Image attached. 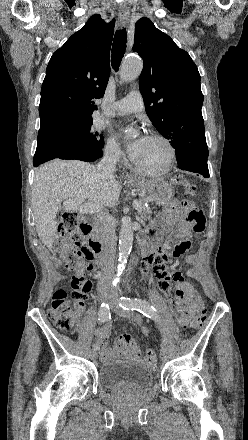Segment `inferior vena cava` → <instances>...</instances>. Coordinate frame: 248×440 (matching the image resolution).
Wrapping results in <instances>:
<instances>
[{"label":"inferior vena cava","mask_w":248,"mask_h":440,"mask_svg":"<svg viewBox=\"0 0 248 440\" xmlns=\"http://www.w3.org/2000/svg\"><path fill=\"white\" fill-rule=\"evenodd\" d=\"M117 164V153L108 151L97 165L99 173L105 176H114ZM95 226L100 230L104 239V249L100 257V266L103 272L102 282L109 285L114 272L117 237L115 228L108 213L100 212L95 217Z\"/></svg>","instance_id":"obj_1"}]
</instances>
